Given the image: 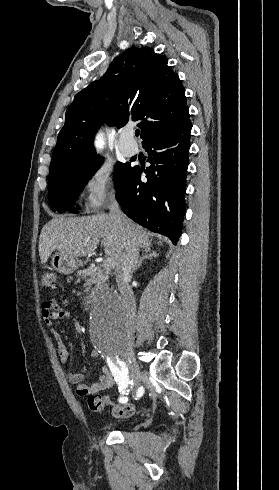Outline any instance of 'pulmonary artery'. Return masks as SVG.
Masks as SVG:
<instances>
[{"label":"pulmonary artery","mask_w":279,"mask_h":490,"mask_svg":"<svg viewBox=\"0 0 279 490\" xmlns=\"http://www.w3.org/2000/svg\"><path fill=\"white\" fill-rule=\"evenodd\" d=\"M121 137H118L117 143L118 146H123L121 148L122 153L127 157H132L137 153V145L133 144L134 140L132 134L133 131L131 128H121L119 131Z\"/></svg>","instance_id":"obj_1"}]
</instances>
